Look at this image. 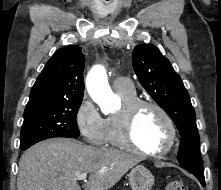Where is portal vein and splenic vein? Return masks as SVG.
<instances>
[{
    "mask_svg": "<svg viewBox=\"0 0 221 190\" xmlns=\"http://www.w3.org/2000/svg\"><path fill=\"white\" fill-rule=\"evenodd\" d=\"M86 178H87V173H82V174H79L78 176H77V179L78 180H86Z\"/></svg>",
    "mask_w": 221,
    "mask_h": 190,
    "instance_id": "portal-vein-and-splenic-vein-1",
    "label": "portal vein and splenic vein"
}]
</instances>
